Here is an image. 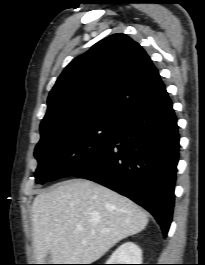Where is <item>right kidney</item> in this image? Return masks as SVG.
I'll return each instance as SVG.
<instances>
[{
    "mask_svg": "<svg viewBox=\"0 0 205 265\" xmlns=\"http://www.w3.org/2000/svg\"><path fill=\"white\" fill-rule=\"evenodd\" d=\"M141 261V249L133 242H126L113 252L106 264H141Z\"/></svg>",
    "mask_w": 205,
    "mask_h": 265,
    "instance_id": "obj_1",
    "label": "right kidney"
}]
</instances>
